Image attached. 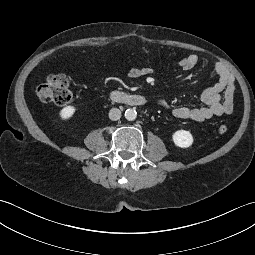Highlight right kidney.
I'll use <instances>...</instances> for the list:
<instances>
[{
  "instance_id": "1",
  "label": "right kidney",
  "mask_w": 255,
  "mask_h": 255,
  "mask_svg": "<svg viewBox=\"0 0 255 255\" xmlns=\"http://www.w3.org/2000/svg\"><path fill=\"white\" fill-rule=\"evenodd\" d=\"M75 111H76V108L74 106H67V107H64L59 112V116L62 120H69L70 118L73 117Z\"/></svg>"
}]
</instances>
